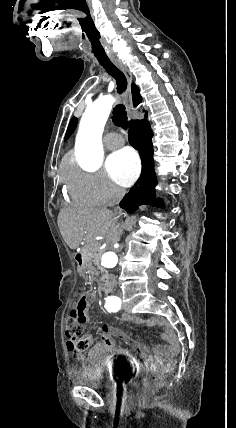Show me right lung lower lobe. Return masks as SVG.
<instances>
[{"label":"right lung lower lobe","instance_id":"obj_1","mask_svg":"<svg viewBox=\"0 0 236 428\" xmlns=\"http://www.w3.org/2000/svg\"><path fill=\"white\" fill-rule=\"evenodd\" d=\"M152 130L145 120H135L129 131L130 144L139 151L142 160V175L120 202V207L133 213L141 205L163 207L162 200L156 198L157 180L153 168Z\"/></svg>","mask_w":236,"mask_h":428}]
</instances>
